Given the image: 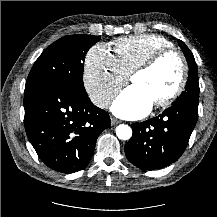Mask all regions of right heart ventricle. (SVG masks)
<instances>
[{"label":"right heart ventricle","mask_w":217,"mask_h":217,"mask_svg":"<svg viewBox=\"0 0 217 217\" xmlns=\"http://www.w3.org/2000/svg\"><path fill=\"white\" fill-rule=\"evenodd\" d=\"M113 46L117 64L128 75L154 54L171 49L172 43L156 34H143L119 38Z\"/></svg>","instance_id":"e07e8e85"}]
</instances>
